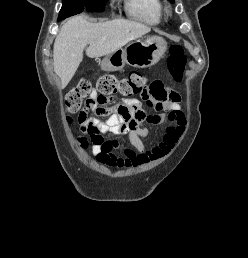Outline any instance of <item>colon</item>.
Here are the masks:
<instances>
[{
	"mask_svg": "<svg viewBox=\"0 0 248 258\" xmlns=\"http://www.w3.org/2000/svg\"><path fill=\"white\" fill-rule=\"evenodd\" d=\"M187 66V57L184 49L179 44H174L170 48V55L167 60V67L170 76L175 81H181ZM146 78L138 73L132 72L127 77L118 79L114 75H104L100 77L94 89L87 79L80 80L77 85L67 94L65 98L66 113L73 114L78 112L85 104L86 108H92L93 105H101L106 100L116 94L125 97L140 95L143 98L148 96H156V88L154 83L147 87ZM95 93L94 102L90 103L91 95ZM160 99L162 95L158 96ZM119 113L126 114L127 109L120 107ZM90 135L92 143H99L102 141L100 132L95 128L90 127L86 131ZM78 142L81 147H88L89 141L86 137H78Z\"/></svg>",
	"mask_w": 248,
	"mask_h": 258,
	"instance_id": "1",
	"label": "colon"
}]
</instances>
